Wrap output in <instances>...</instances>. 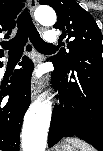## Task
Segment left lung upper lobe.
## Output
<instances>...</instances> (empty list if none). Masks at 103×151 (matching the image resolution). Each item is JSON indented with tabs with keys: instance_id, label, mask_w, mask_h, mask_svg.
<instances>
[{
	"instance_id": "obj_1",
	"label": "left lung upper lobe",
	"mask_w": 103,
	"mask_h": 151,
	"mask_svg": "<svg viewBox=\"0 0 103 151\" xmlns=\"http://www.w3.org/2000/svg\"><path fill=\"white\" fill-rule=\"evenodd\" d=\"M50 5L57 13L54 28L62 30L60 39L66 38L67 50L61 49L50 59L61 68L68 67L83 53L103 52L102 34L94 18L75 0H39Z\"/></svg>"
}]
</instances>
